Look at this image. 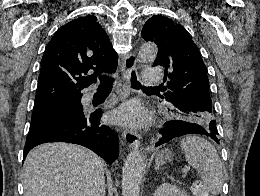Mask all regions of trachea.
I'll return each mask as SVG.
<instances>
[{
	"label": "trachea",
	"instance_id": "obj_1",
	"mask_svg": "<svg viewBox=\"0 0 260 196\" xmlns=\"http://www.w3.org/2000/svg\"><path fill=\"white\" fill-rule=\"evenodd\" d=\"M99 80H100V85L99 86L111 87L113 82H114V77L107 76V75H100L99 76ZM129 82L131 83V86H133V88H142V89H146L147 88L145 86H142L141 83L139 81H137V78H136L134 72L131 73V76L129 78ZM162 87H163V85L150 86L148 88H162Z\"/></svg>",
	"mask_w": 260,
	"mask_h": 196
}]
</instances>
